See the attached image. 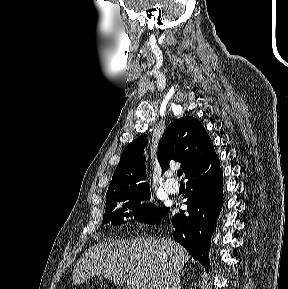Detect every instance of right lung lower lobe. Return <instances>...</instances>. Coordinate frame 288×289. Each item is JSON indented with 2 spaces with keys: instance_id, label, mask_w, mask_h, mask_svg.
<instances>
[{
  "instance_id": "obj_1",
  "label": "right lung lower lobe",
  "mask_w": 288,
  "mask_h": 289,
  "mask_svg": "<svg viewBox=\"0 0 288 289\" xmlns=\"http://www.w3.org/2000/svg\"><path fill=\"white\" fill-rule=\"evenodd\" d=\"M186 178L187 192L184 197L187 198V212L180 210L179 214L173 216V236L207 269L210 263L208 254L211 235L216 228L215 220L223 204V173L216 153L191 171ZM168 212L169 208H166L162 217Z\"/></svg>"
}]
</instances>
